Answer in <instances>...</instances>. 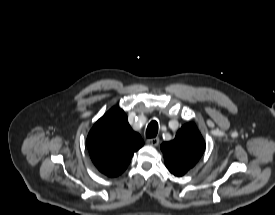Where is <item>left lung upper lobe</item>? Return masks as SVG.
Returning <instances> with one entry per match:
<instances>
[{
    "label": "left lung upper lobe",
    "mask_w": 275,
    "mask_h": 215,
    "mask_svg": "<svg viewBox=\"0 0 275 215\" xmlns=\"http://www.w3.org/2000/svg\"><path fill=\"white\" fill-rule=\"evenodd\" d=\"M165 165L175 176H183L200 159L205 142L194 123L184 125L174 140L161 145Z\"/></svg>",
    "instance_id": "1"
}]
</instances>
